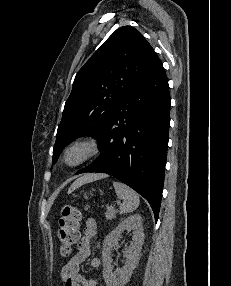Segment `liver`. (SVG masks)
<instances>
[{"label":"liver","instance_id":"6515ba94","mask_svg":"<svg viewBox=\"0 0 231 286\" xmlns=\"http://www.w3.org/2000/svg\"><path fill=\"white\" fill-rule=\"evenodd\" d=\"M106 175L104 174H86L82 177H80L79 179H77L69 188L68 192L71 193L72 191H74L75 189L79 188L80 186H82L83 184L89 183V182H93L102 178H105Z\"/></svg>","mask_w":231,"mask_h":286}]
</instances>
